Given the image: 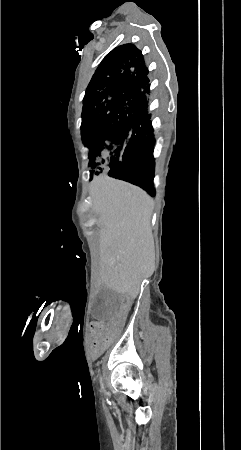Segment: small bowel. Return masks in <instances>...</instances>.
Returning <instances> with one entry per match:
<instances>
[{"mask_svg": "<svg viewBox=\"0 0 241 450\" xmlns=\"http://www.w3.org/2000/svg\"><path fill=\"white\" fill-rule=\"evenodd\" d=\"M129 306H130L129 301H127V300L122 301V303H121V308H120V312L118 313V316H119L120 318H123V317L125 316V314L128 313V311H129ZM115 325H116L117 328L120 329V328L123 327L124 324H123L122 321L119 320V321L116 322ZM100 326H101V323H100L98 320H93V321L91 322V327H92V328H90V330H89L90 335H92V336L97 335V334L99 333L98 328H99ZM117 328H115V327L110 328V330H109L110 335H107V336H101V337L99 338V341H100L101 343H107V344H112V343H114L115 340H116L114 336L117 335V333H118ZM98 344H99L98 341L95 340V339H92V340H90V342H89L90 347L94 348L93 351H92L93 356H97V355L99 354L98 350L95 348V347H98ZM98 348H102V347H98Z\"/></svg>", "mask_w": 241, "mask_h": 450, "instance_id": "obj_1", "label": "small bowel"}]
</instances>
